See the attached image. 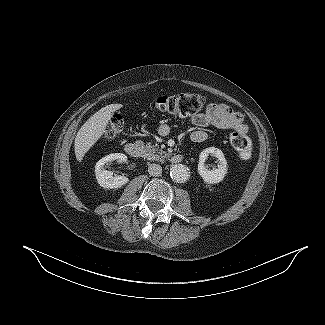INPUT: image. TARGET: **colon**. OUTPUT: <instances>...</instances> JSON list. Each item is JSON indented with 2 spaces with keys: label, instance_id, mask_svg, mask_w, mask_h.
Segmentation results:
<instances>
[{
  "label": "colon",
  "instance_id": "1",
  "mask_svg": "<svg viewBox=\"0 0 325 325\" xmlns=\"http://www.w3.org/2000/svg\"><path fill=\"white\" fill-rule=\"evenodd\" d=\"M206 103V97L200 93H179L173 95H163L156 99L155 108L157 111L174 117H187L202 110ZM123 127V120L114 117L107 132L108 138L115 137ZM231 144L242 160H248L253 151L252 143L248 137L235 131L230 137Z\"/></svg>",
  "mask_w": 325,
  "mask_h": 325
}]
</instances>
